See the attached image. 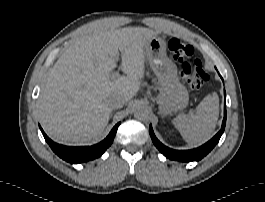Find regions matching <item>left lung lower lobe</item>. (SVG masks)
<instances>
[{
    "label": "left lung lower lobe",
    "mask_w": 265,
    "mask_h": 202,
    "mask_svg": "<svg viewBox=\"0 0 265 202\" xmlns=\"http://www.w3.org/2000/svg\"><path fill=\"white\" fill-rule=\"evenodd\" d=\"M226 124V106L224 110V119L222 122L221 130L207 143L204 145L191 149V150H174L171 148L166 147L163 145L155 136L152 126L150 125L149 133L151 136V139L154 143V145L158 148V150L167 158L175 161H181V162H192V161H199L204 156H206L218 143L220 140Z\"/></svg>",
    "instance_id": "obj_1"
}]
</instances>
